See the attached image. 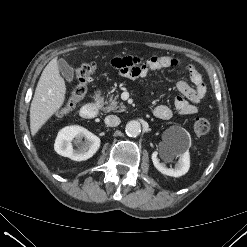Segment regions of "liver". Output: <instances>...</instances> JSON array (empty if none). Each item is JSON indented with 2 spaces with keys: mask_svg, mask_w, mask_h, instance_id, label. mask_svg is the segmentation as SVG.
I'll use <instances>...</instances> for the list:
<instances>
[{
  "mask_svg": "<svg viewBox=\"0 0 247 247\" xmlns=\"http://www.w3.org/2000/svg\"><path fill=\"white\" fill-rule=\"evenodd\" d=\"M66 85L59 73L57 59L44 68L30 106V130L35 136L41 127L64 104Z\"/></svg>",
  "mask_w": 247,
  "mask_h": 247,
  "instance_id": "6515ba94",
  "label": "liver"
}]
</instances>
